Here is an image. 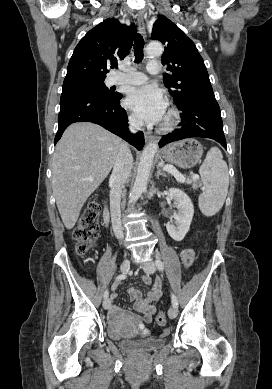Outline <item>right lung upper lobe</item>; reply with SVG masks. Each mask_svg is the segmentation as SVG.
<instances>
[{
    "mask_svg": "<svg viewBox=\"0 0 272 389\" xmlns=\"http://www.w3.org/2000/svg\"><path fill=\"white\" fill-rule=\"evenodd\" d=\"M136 27L106 19L88 31L76 46L69 61L63 85L104 80L107 68L117 67L133 44Z\"/></svg>",
    "mask_w": 272,
    "mask_h": 389,
    "instance_id": "right-lung-upper-lobe-1",
    "label": "right lung upper lobe"
}]
</instances>
